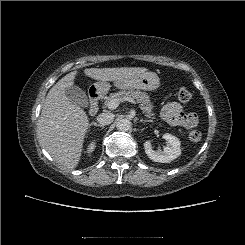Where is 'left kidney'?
<instances>
[{
	"instance_id": "left-kidney-1",
	"label": "left kidney",
	"mask_w": 245,
	"mask_h": 245,
	"mask_svg": "<svg viewBox=\"0 0 245 245\" xmlns=\"http://www.w3.org/2000/svg\"><path fill=\"white\" fill-rule=\"evenodd\" d=\"M163 138L168 142L163 151H154L150 140L145 141L143 145L145 153L152 161L169 163L181 155V143L177 137L169 133H165Z\"/></svg>"
}]
</instances>
